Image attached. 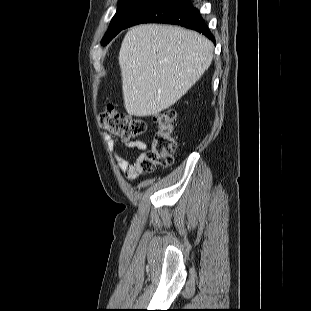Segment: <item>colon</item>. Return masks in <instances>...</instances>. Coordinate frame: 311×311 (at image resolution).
<instances>
[{"label":"colon","instance_id":"1","mask_svg":"<svg viewBox=\"0 0 311 311\" xmlns=\"http://www.w3.org/2000/svg\"><path fill=\"white\" fill-rule=\"evenodd\" d=\"M175 123L176 113L173 110H166L156 116L154 137L140 164L142 172H150L159 166L172 163L177 148ZM99 124L110 133L125 139L136 138L146 131V123L143 120L121 114L113 107H107L99 114Z\"/></svg>","mask_w":311,"mask_h":311}]
</instances>
